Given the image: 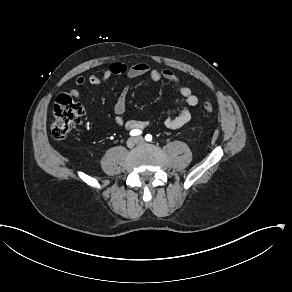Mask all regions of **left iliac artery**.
<instances>
[{"label": "left iliac artery", "instance_id": "obj_1", "mask_svg": "<svg viewBox=\"0 0 292 292\" xmlns=\"http://www.w3.org/2000/svg\"><path fill=\"white\" fill-rule=\"evenodd\" d=\"M145 140L148 141V142H150L152 140V135L151 134H147L145 136Z\"/></svg>", "mask_w": 292, "mask_h": 292}]
</instances>
